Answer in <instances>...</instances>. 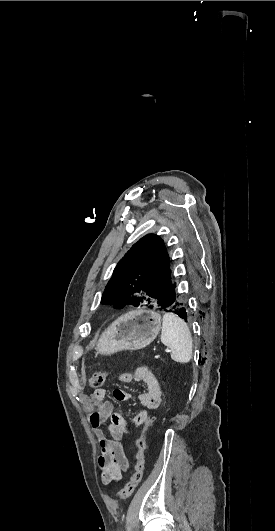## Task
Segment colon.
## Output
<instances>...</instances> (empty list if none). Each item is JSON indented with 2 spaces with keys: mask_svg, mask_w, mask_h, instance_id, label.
<instances>
[{
  "mask_svg": "<svg viewBox=\"0 0 275 531\" xmlns=\"http://www.w3.org/2000/svg\"><path fill=\"white\" fill-rule=\"evenodd\" d=\"M107 373L105 370H97L91 379L90 387L92 389H101L106 382ZM158 415L153 413L143 424V429L141 435L136 441V462H135V471L131 476L127 484L117 493L116 499L118 501L127 500L132 493L134 492L137 485L140 483L144 470V457H145V448L146 441L145 437L150 434L151 430L157 423Z\"/></svg>",
  "mask_w": 275,
  "mask_h": 531,
  "instance_id": "1",
  "label": "colon"
}]
</instances>
